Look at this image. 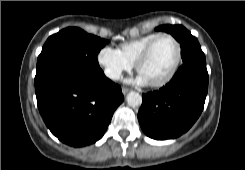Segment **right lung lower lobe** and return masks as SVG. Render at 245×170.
Here are the masks:
<instances>
[{
    "label": "right lung lower lobe",
    "instance_id": "98d812e1",
    "mask_svg": "<svg viewBox=\"0 0 245 170\" xmlns=\"http://www.w3.org/2000/svg\"><path fill=\"white\" fill-rule=\"evenodd\" d=\"M40 114L63 143H95L107 129L124 97L100 68H64L35 84Z\"/></svg>",
    "mask_w": 245,
    "mask_h": 170
}]
</instances>
